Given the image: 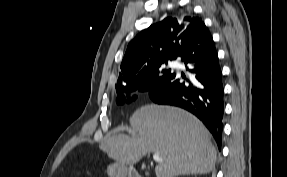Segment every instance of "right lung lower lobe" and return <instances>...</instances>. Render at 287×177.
Masks as SVG:
<instances>
[{"label":"right lung lower lobe","mask_w":287,"mask_h":177,"mask_svg":"<svg viewBox=\"0 0 287 177\" xmlns=\"http://www.w3.org/2000/svg\"><path fill=\"white\" fill-rule=\"evenodd\" d=\"M179 58L190 67L191 77L180 82L179 76L172 73L148 91L149 97L157 104L178 106L196 115L212 133L220 150L224 89L218 54L209 30L205 29L187 43Z\"/></svg>","instance_id":"right-lung-lower-lobe-1"}]
</instances>
